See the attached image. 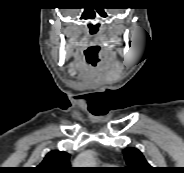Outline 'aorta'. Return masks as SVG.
<instances>
[{"label":"aorta","instance_id":"obj_1","mask_svg":"<svg viewBox=\"0 0 184 173\" xmlns=\"http://www.w3.org/2000/svg\"><path fill=\"white\" fill-rule=\"evenodd\" d=\"M76 165H85L83 167H93L95 160L91 152L82 154L76 161Z\"/></svg>","mask_w":184,"mask_h":173}]
</instances>
